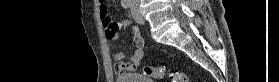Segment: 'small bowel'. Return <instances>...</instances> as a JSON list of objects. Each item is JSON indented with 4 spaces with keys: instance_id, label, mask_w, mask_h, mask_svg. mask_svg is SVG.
<instances>
[{
    "instance_id": "1",
    "label": "small bowel",
    "mask_w": 279,
    "mask_h": 82,
    "mask_svg": "<svg viewBox=\"0 0 279 82\" xmlns=\"http://www.w3.org/2000/svg\"><path fill=\"white\" fill-rule=\"evenodd\" d=\"M99 6L102 7L105 4L104 0H100ZM129 25V21H126L124 23L121 22H112L111 25H105V31H106V37L109 40H114L117 38L118 30L122 26ZM132 33V41L135 46V50L133 55L131 56L130 62L125 63L123 62L124 54L122 52H117L114 54V60L116 62V65L114 67L115 74H124L127 72H132L136 70L144 57V39L141 35L140 29L138 26H133L131 29Z\"/></svg>"
}]
</instances>
